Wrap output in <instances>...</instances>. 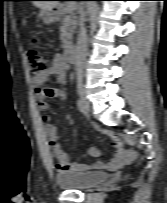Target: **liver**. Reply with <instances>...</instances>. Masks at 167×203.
I'll list each match as a JSON object with an SVG mask.
<instances>
[{"instance_id": "6515ba94", "label": "liver", "mask_w": 167, "mask_h": 203, "mask_svg": "<svg viewBox=\"0 0 167 203\" xmlns=\"http://www.w3.org/2000/svg\"><path fill=\"white\" fill-rule=\"evenodd\" d=\"M58 4L56 1H36L34 2V6L42 9V10H51L56 7Z\"/></svg>"}]
</instances>
